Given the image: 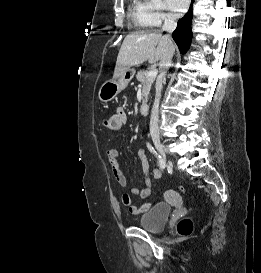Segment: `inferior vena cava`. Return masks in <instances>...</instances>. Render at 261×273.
I'll use <instances>...</instances> for the list:
<instances>
[{
  "label": "inferior vena cava",
  "mask_w": 261,
  "mask_h": 273,
  "mask_svg": "<svg viewBox=\"0 0 261 273\" xmlns=\"http://www.w3.org/2000/svg\"><path fill=\"white\" fill-rule=\"evenodd\" d=\"M177 27V22L175 19V16L172 14H167L164 18V24L162 27L163 31L168 32L169 34L172 33ZM169 44L172 46V40L170 38V35H167ZM172 57H173V49H171L165 58L160 61L159 67H160V74L158 76L157 82H156V95H155V101L152 108V114L150 119V134L152 137L158 138L159 137V103L161 99V91L163 83L165 82V76L167 73V70L172 65Z\"/></svg>",
  "instance_id": "inferior-vena-cava-1"
}]
</instances>
